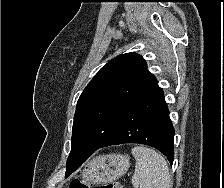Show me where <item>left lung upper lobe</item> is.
<instances>
[{
	"instance_id": "5c2ea615",
	"label": "left lung upper lobe",
	"mask_w": 224,
	"mask_h": 188,
	"mask_svg": "<svg viewBox=\"0 0 224 188\" xmlns=\"http://www.w3.org/2000/svg\"><path fill=\"white\" fill-rule=\"evenodd\" d=\"M156 84L136 53L119 55L105 64L77 102L66 170L94 153L132 103Z\"/></svg>"
}]
</instances>
